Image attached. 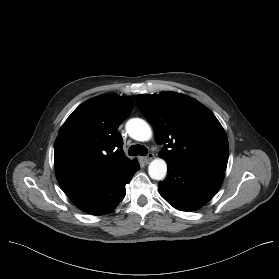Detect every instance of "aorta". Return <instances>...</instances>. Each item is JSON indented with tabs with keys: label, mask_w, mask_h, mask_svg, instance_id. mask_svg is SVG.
<instances>
[{
	"label": "aorta",
	"mask_w": 279,
	"mask_h": 279,
	"mask_svg": "<svg viewBox=\"0 0 279 279\" xmlns=\"http://www.w3.org/2000/svg\"><path fill=\"white\" fill-rule=\"evenodd\" d=\"M129 136L137 141L145 142L151 139L152 130L149 124L141 118H132L126 123ZM148 174L154 180H163L167 174V164L162 158H156L148 166Z\"/></svg>",
	"instance_id": "aorta-1"
}]
</instances>
